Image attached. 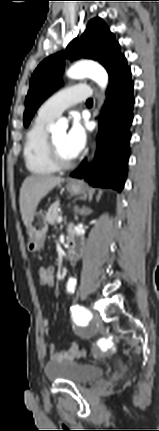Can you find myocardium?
<instances>
[{"label": "myocardium", "instance_id": "obj_1", "mask_svg": "<svg viewBox=\"0 0 159 431\" xmlns=\"http://www.w3.org/2000/svg\"><path fill=\"white\" fill-rule=\"evenodd\" d=\"M48 154L51 162L57 169H68L76 163L75 158L65 160L61 157L51 134L48 135Z\"/></svg>", "mask_w": 159, "mask_h": 431}]
</instances>
